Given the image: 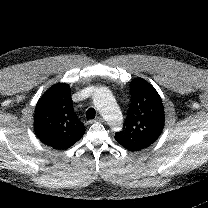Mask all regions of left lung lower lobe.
<instances>
[{
  "label": "left lung lower lobe",
  "instance_id": "obj_1",
  "mask_svg": "<svg viewBox=\"0 0 208 208\" xmlns=\"http://www.w3.org/2000/svg\"><path fill=\"white\" fill-rule=\"evenodd\" d=\"M122 145V144H121ZM123 147H125L126 149L130 150V151H138V149H135L132 146H128V145H122Z\"/></svg>",
  "mask_w": 208,
  "mask_h": 208
}]
</instances>
